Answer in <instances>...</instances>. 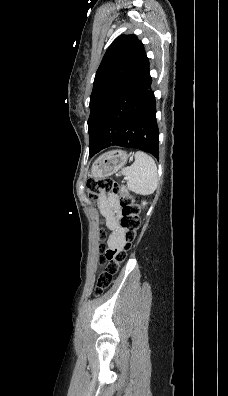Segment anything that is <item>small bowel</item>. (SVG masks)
<instances>
[{
    "label": "small bowel",
    "mask_w": 228,
    "mask_h": 396,
    "mask_svg": "<svg viewBox=\"0 0 228 396\" xmlns=\"http://www.w3.org/2000/svg\"><path fill=\"white\" fill-rule=\"evenodd\" d=\"M101 212L106 220V226L110 231L107 245L109 248L120 249L124 243L123 231L119 225V205L114 195H102L100 197Z\"/></svg>",
    "instance_id": "c3829d8e"
}]
</instances>
